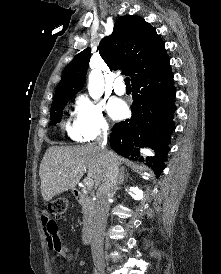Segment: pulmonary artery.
Wrapping results in <instances>:
<instances>
[{"label": "pulmonary artery", "instance_id": "obj_1", "mask_svg": "<svg viewBox=\"0 0 221 274\" xmlns=\"http://www.w3.org/2000/svg\"><path fill=\"white\" fill-rule=\"evenodd\" d=\"M114 91L118 95H123L126 92V88L121 77L116 78L114 83Z\"/></svg>", "mask_w": 221, "mask_h": 274}]
</instances>
